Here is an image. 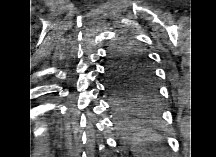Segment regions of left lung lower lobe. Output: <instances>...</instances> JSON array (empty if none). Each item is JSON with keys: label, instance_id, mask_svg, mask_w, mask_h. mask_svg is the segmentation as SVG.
Wrapping results in <instances>:
<instances>
[{"label": "left lung lower lobe", "instance_id": "1", "mask_svg": "<svg viewBox=\"0 0 216 157\" xmlns=\"http://www.w3.org/2000/svg\"><path fill=\"white\" fill-rule=\"evenodd\" d=\"M107 89L113 98V107L118 116L119 130L124 134L133 133L139 123L138 115L133 110V88L123 87L114 83L108 73Z\"/></svg>", "mask_w": 216, "mask_h": 157}]
</instances>
